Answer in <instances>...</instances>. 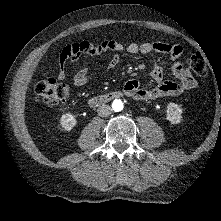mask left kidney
<instances>
[{
    "label": "left kidney",
    "mask_w": 221,
    "mask_h": 221,
    "mask_svg": "<svg viewBox=\"0 0 221 221\" xmlns=\"http://www.w3.org/2000/svg\"><path fill=\"white\" fill-rule=\"evenodd\" d=\"M167 120H169L172 124H178L182 120V108L180 105L176 103H169L167 105Z\"/></svg>",
    "instance_id": "obj_1"
}]
</instances>
